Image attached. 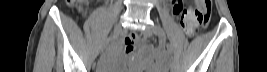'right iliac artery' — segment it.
Segmentation results:
<instances>
[{"mask_svg": "<svg viewBox=\"0 0 267 72\" xmlns=\"http://www.w3.org/2000/svg\"><path fill=\"white\" fill-rule=\"evenodd\" d=\"M115 38H116V36L111 35V36H109V37L105 40L104 43L109 42V41H112V40H114Z\"/></svg>", "mask_w": 267, "mask_h": 72, "instance_id": "obj_1", "label": "right iliac artery"}]
</instances>
